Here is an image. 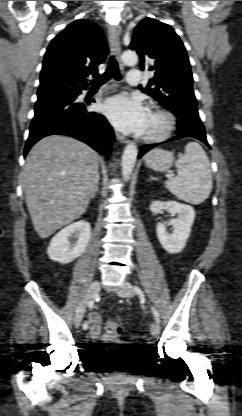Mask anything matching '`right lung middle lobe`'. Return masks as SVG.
<instances>
[{"mask_svg": "<svg viewBox=\"0 0 242 416\" xmlns=\"http://www.w3.org/2000/svg\"><path fill=\"white\" fill-rule=\"evenodd\" d=\"M74 90H71V89H67V90H63V91H60V92H69V93H72ZM60 92H58V93H60Z\"/></svg>", "mask_w": 242, "mask_h": 416, "instance_id": "obj_1", "label": "right lung middle lobe"}]
</instances>
